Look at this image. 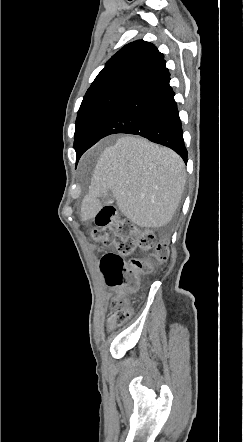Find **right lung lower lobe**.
Returning <instances> with one entry per match:
<instances>
[{
  "instance_id": "98d812e1",
  "label": "right lung lower lobe",
  "mask_w": 243,
  "mask_h": 442,
  "mask_svg": "<svg viewBox=\"0 0 243 442\" xmlns=\"http://www.w3.org/2000/svg\"><path fill=\"white\" fill-rule=\"evenodd\" d=\"M169 81L167 70L128 93L99 124L86 150L111 134H136L173 149L186 163L182 124Z\"/></svg>"
}]
</instances>
